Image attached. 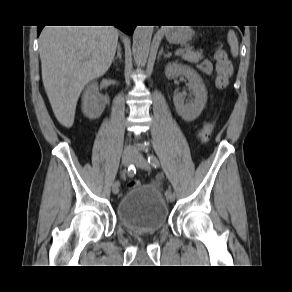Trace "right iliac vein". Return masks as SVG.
Returning a JSON list of instances; mask_svg holds the SVG:
<instances>
[{
    "label": "right iliac vein",
    "mask_w": 292,
    "mask_h": 292,
    "mask_svg": "<svg viewBox=\"0 0 292 292\" xmlns=\"http://www.w3.org/2000/svg\"><path fill=\"white\" fill-rule=\"evenodd\" d=\"M132 162H133V156L131 155V154H128V153H124L123 155H122V164L124 165V166H129L130 164H132ZM112 192L114 193V194H117L118 192H119V187H117V184H114L113 186H112Z\"/></svg>",
    "instance_id": "1"
}]
</instances>
